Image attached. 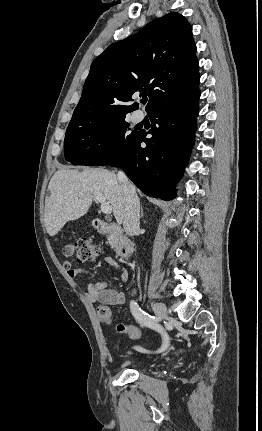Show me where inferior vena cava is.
<instances>
[{"label":"inferior vena cava","instance_id":"1","mask_svg":"<svg viewBox=\"0 0 262 431\" xmlns=\"http://www.w3.org/2000/svg\"><path fill=\"white\" fill-rule=\"evenodd\" d=\"M118 181L124 192L123 227L129 236H133L139 229L140 202L134 186L129 182L124 172L117 174Z\"/></svg>","mask_w":262,"mask_h":431}]
</instances>
